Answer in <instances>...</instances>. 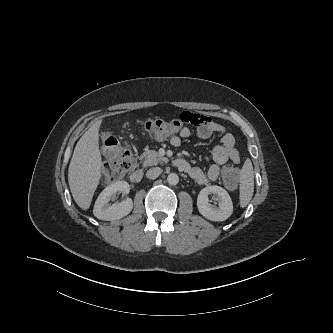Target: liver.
I'll return each instance as SVG.
<instances>
[{
  "label": "liver",
  "mask_w": 333,
  "mask_h": 333,
  "mask_svg": "<svg viewBox=\"0 0 333 333\" xmlns=\"http://www.w3.org/2000/svg\"><path fill=\"white\" fill-rule=\"evenodd\" d=\"M102 120L96 121L80 138L74 149L68 169V181L77 205L89 209L101 178L103 166L99 150V129Z\"/></svg>",
  "instance_id": "6515ba94"
}]
</instances>
